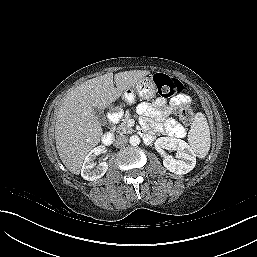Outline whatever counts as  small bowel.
<instances>
[{
    "instance_id": "1",
    "label": "small bowel",
    "mask_w": 257,
    "mask_h": 257,
    "mask_svg": "<svg viewBox=\"0 0 257 257\" xmlns=\"http://www.w3.org/2000/svg\"><path fill=\"white\" fill-rule=\"evenodd\" d=\"M191 97L183 94L174 97L169 103L163 98H157L153 104L141 103L138 106L139 113L144 117L147 127L154 131L164 132L170 136H182L184 129L173 119L167 118L177 108L189 104ZM147 139L150 134L147 133Z\"/></svg>"
}]
</instances>
